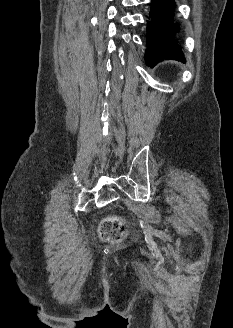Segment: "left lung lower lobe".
<instances>
[{"label": "left lung lower lobe", "mask_w": 233, "mask_h": 328, "mask_svg": "<svg viewBox=\"0 0 233 328\" xmlns=\"http://www.w3.org/2000/svg\"><path fill=\"white\" fill-rule=\"evenodd\" d=\"M152 2L151 20L147 25L148 49L145 54L148 66L169 58L184 61L181 47L174 38L175 32L179 31V26L170 24L175 3L172 0H152Z\"/></svg>", "instance_id": "0a47b994"}]
</instances>
